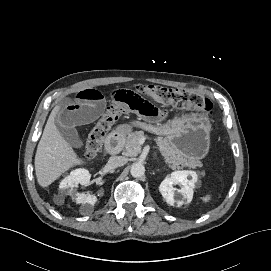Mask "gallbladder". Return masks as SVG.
Here are the masks:
<instances>
[{"label": "gallbladder", "instance_id": "gallbladder-1", "mask_svg": "<svg viewBox=\"0 0 271 271\" xmlns=\"http://www.w3.org/2000/svg\"><path fill=\"white\" fill-rule=\"evenodd\" d=\"M56 125L62 137L68 142L69 145L75 148H81L83 146V142L77 130L72 126H66L59 116L56 118Z\"/></svg>", "mask_w": 271, "mask_h": 271}]
</instances>
